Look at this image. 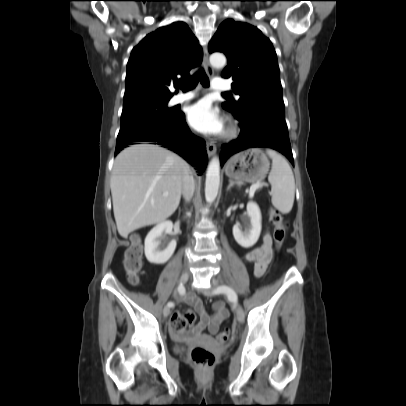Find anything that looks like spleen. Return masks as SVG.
<instances>
[{
  "mask_svg": "<svg viewBox=\"0 0 406 406\" xmlns=\"http://www.w3.org/2000/svg\"><path fill=\"white\" fill-rule=\"evenodd\" d=\"M266 152L272 159V168L268 176L271 184L272 204L281 213H289L295 198L293 172L288 162L280 154L271 149Z\"/></svg>",
  "mask_w": 406,
  "mask_h": 406,
  "instance_id": "1",
  "label": "spleen"
}]
</instances>
